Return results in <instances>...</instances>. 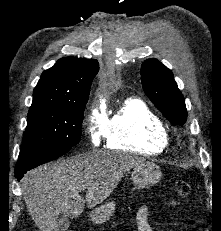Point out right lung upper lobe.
Segmentation results:
<instances>
[{
	"instance_id": "1",
	"label": "right lung upper lobe",
	"mask_w": 221,
	"mask_h": 231,
	"mask_svg": "<svg viewBox=\"0 0 221 231\" xmlns=\"http://www.w3.org/2000/svg\"><path fill=\"white\" fill-rule=\"evenodd\" d=\"M99 70L95 59L67 57L45 70L33 91L31 106L88 100Z\"/></svg>"
}]
</instances>
